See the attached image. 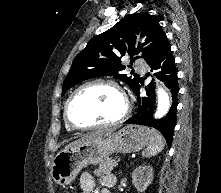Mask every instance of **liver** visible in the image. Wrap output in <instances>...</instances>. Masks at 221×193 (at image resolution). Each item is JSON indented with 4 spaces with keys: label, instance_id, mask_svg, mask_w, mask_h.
Instances as JSON below:
<instances>
[{
    "label": "liver",
    "instance_id": "6515ba94",
    "mask_svg": "<svg viewBox=\"0 0 221 193\" xmlns=\"http://www.w3.org/2000/svg\"><path fill=\"white\" fill-rule=\"evenodd\" d=\"M110 133H111L110 130H98V131L89 133V134L83 136L81 139L75 140L74 142H71L70 144H68L65 147L64 150H67V149H69L71 147L80 145V144L84 143L85 141L94 140L96 138H100V137L106 136V135H108Z\"/></svg>",
    "mask_w": 221,
    "mask_h": 193
}]
</instances>
